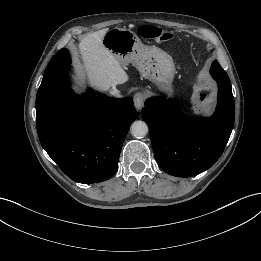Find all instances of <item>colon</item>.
Here are the masks:
<instances>
[{
  "label": "colon",
  "mask_w": 261,
  "mask_h": 261,
  "mask_svg": "<svg viewBox=\"0 0 261 261\" xmlns=\"http://www.w3.org/2000/svg\"><path fill=\"white\" fill-rule=\"evenodd\" d=\"M139 35L157 42H168L173 34L165 29L154 26H141ZM215 76L211 72H202L198 76L197 95L200 102L207 104L208 99L214 95Z\"/></svg>",
  "instance_id": "1"
}]
</instances>
